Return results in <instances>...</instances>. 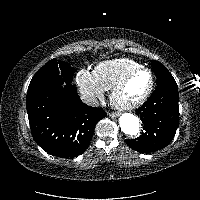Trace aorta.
<instances>
[{"label": "aorta", "mask_w": 200, "mask_h": 200, "mask_svg": "<svg viewBox=\"0 0 200 200\" xmlns=\"http://www.w3.org/2000/svg\"><path fill=\"white\" fill-rule=\"evenodd\" d=\"M121 130L127 135H136L139 132L140 121L131 113H123L119 118Z\"/></svg>", "instance_id": "762f6f07"}]
</instances>
